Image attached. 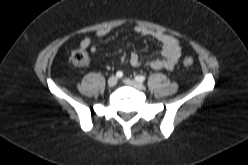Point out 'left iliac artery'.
I'll return each mask as SVG.
<instances>
[{"instance_id": "left-iliac-artery-1", "label": "left iliac artery", "mask_w": 248, "mask_h": 165, "mask_svg": "<svg viewBox=\"0 0 248 165\" xmlns=\"http://www.w3.org/2000/svg\"><path fill=\"white\" fill-rule=\"evenodd\" d=\"M145 79H146V77L143 75H138L135 77V80L138 82H143V81H145Z\"/></svg>"}]
</instances>
